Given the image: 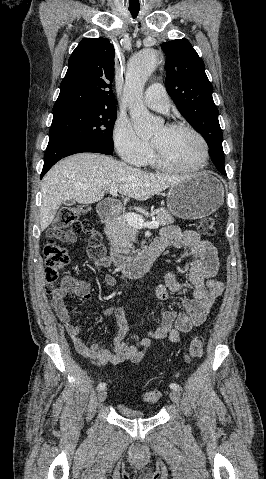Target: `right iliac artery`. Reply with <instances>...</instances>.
Returning a JSON list of instances; mask_svg holds the SVG:
<instances>
[{"mask_svg": "<svg viewBox=\"0 0 266 479\" xmlns=\"http://www.w3.org/2000/svg\"><path fill=\"white\" fill-rule=\"evenodd\" d=\"M105 387H106V383H104V382L99 383V385L97 386V390L105 389Z\"/></svg>", "mask_w": 266, "mask_h": 479, "instance_id": "right-iliac-artery-1", "label": "right iliac artery"}]
</instances>
